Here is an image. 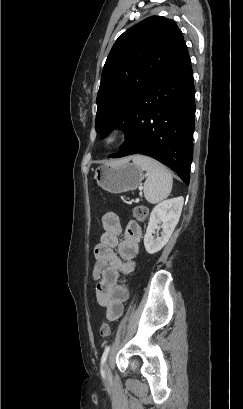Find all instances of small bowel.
Instances as JSON below:
<instances>
[{
  "instance_id": "1",
  "label": "small bowel",
  "mask_w": 243,
  "mask_h": 409,
  "mask_svg": "<svg viewBox=\"0 0 243 409\" xmlns=\"http://www.w3.org/2000/svg\"><path fill=\"white\" fill-rule=\"evenodd\" d=\"M102 227L100 242L94 249L95 294L98 304L106 309L107 319L115 321L122 315L123 303L129 296L126 285L119 282V275H129L134 271L142 230L137 222L132 221L123 232L119 216L114 212H106L102 216Z\"/></svg>"
}]
</instances>
